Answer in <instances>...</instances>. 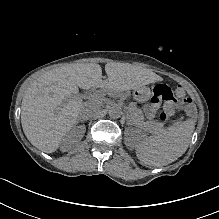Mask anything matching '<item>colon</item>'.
<instances>
[{"label": "colon", "instance_id": "5ec220e1", "mask_svg": "<svg viewBox=\"0 0 219 219\" xmlns=\"http://www.w3.org/2000/svg\"><path fill=\"white\" fill-rule=\"evenodd\" d=\"M173 95L175 98L179 99L181 102H187L189 99L187 98L185 89L181 85H177L173 91ZM172 97L171 99L167 100L163 111L159 115V119L161 122H166L170 120V118L174 115L175 113V101L176 99Z\"/></svg>", "mask_w": 219, "mask_h": 219}]
</instances>
